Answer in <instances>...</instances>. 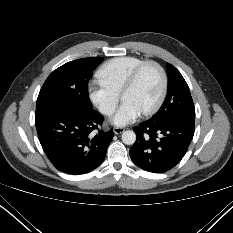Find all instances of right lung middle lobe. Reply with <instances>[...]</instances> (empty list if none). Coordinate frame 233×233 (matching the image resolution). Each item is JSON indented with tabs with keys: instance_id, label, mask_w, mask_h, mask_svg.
Wrapping results in <instances>:
<instances>
[{
	"instance_id": "right-lung-middle-lobe-1",
	"label": "right lung middle lobe",
	"mask_w": 233,
	"mask_h": 233,
	"mask_svg": "<svg viewBox=\"0 0 233 233\" xmlns=\"http://www.w3.org/2000/svg\"><path fill=\"white\" fill-rule=\"evenodd\" d=\"M102 60L101 57L82 58L54 70L40 90L35 116L52 110L93 109L88 96V82Z\"/></svg>"
}]
</instances>
